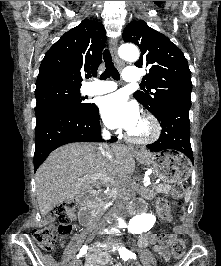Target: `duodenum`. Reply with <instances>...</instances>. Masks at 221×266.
<instances>
[{
  "mask_svg": "<svg viewBox=\"0 0 221 266\" xmlns=\"http://www.w3.org/2000/svg\"><path fill=\"white\" fill-rule=\"evenodd\" d=\"M96 198V194L84 193L78 196V202L80 203L79 222L83 226H89L94 218L95 208L93 202ZM143 207L139 203H134L129 207L130 214H136L141 211Z\"/></svg>",
  "mask_w": 221,
  "mask_h": 266,
  "instance_id": "duodenum-1",
  "label": "duodenum"
}]
</instances>
